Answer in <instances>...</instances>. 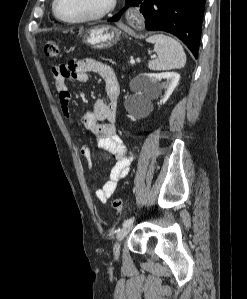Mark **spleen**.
Returning <instances> with one entry per match:
<instances>
[{
	"mask_svg": "<svg viewBox=\"0 0 247 299\" xmlns=\"http://www.w3.org/2000/svg\"><path fill=\"white\" fill-rule=\"evenodd\" d=\"M147 42L154 44L157 58L148 63V68L154 71L180 69L185 66L186 55L178 41L157 34L147 38Z\"/></svg>",
	"mask_w": 247,
	"mask_h": 299,
	"instance_id": "obj_1",
	"label": "spleen"
}]
</instances>
